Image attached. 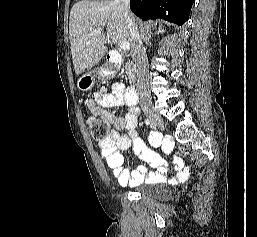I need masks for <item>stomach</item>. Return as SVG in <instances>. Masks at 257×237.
<instances>
[{
    "label": "stomach",
    "instance_id": "0dacf381",
    "mask_svg": "<svg viewBox=\"0 0 257 237\" xmlns=\"http://www.w3.org/2000/svg\"><path fill=\"white\" fill-rule=\"evenodd\" d=\"M101 74V70L89 72L78 79L77 87L81 91L90 90L95 83V76Z\"/></svg>",
    "mask_w": 257,
    "mask_h": 237
}]
</instances>
